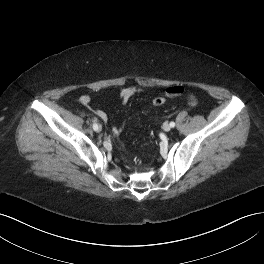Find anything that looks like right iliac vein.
<instances>
[{
    "instance_id": "obj_1",
    "label": "right iliac vein",
    "mask_w": 264,
    "mask_h": 264,
    "mask_svg": "<svg viewBox=\"0 0 264 264\" xmlns=\"http://www.w3.org/2000/svg\"><path fill=\"white\" fill-rule=\"evenodd\" d=\"M98 131H99V132L102 131V126H101V125H99V127H98Z\"/></svg>"
}]
</instances>
